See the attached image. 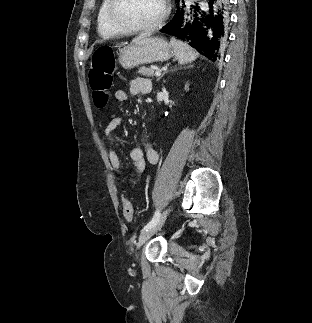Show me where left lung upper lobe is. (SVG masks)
I'll return each mask as SVG.
<instances>
[{"instance_id":"left-lung-upper-lobe-1","label":"left lung upper lobe","mask_w":312,"mask_h":323,"mask_svg":"<svg viewBox=\"0 0 312 323\" xmlns=\"http://www.w3.org/2000/svg\"><path fill=\"white\" fill-rule=\"evenodd\" d=\"M177 3L179 2V0H175Z\"/></svg>"}]
</instances>
